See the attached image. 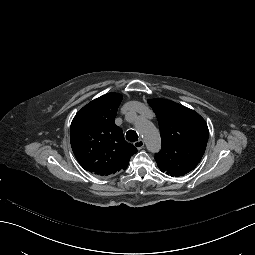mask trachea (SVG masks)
Returning <instances> with one entry per match:
<instances>
[{"label":"trachea","instance_id":"trachea-1","mask_svg":"<svg viewBox=\"0 0 255 255\" xmlns=\"http://www.w3.org/2000/svg\"><path fill=\"white\" fill-rule=\"evenodd\" d=\"M126 139L128 141L134 142L138 140V135L135 130H129L126 133Z\"/></svg>","mask_w":255,"mask_h":255}]
</instances>
